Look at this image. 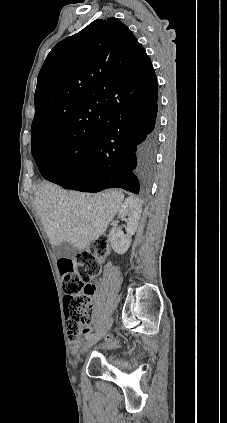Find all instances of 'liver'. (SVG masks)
Segmentation results:
<instances>
[{
    "instance_id": "1",
    "label": "liver",
    "mask_w": 227,
    "mask_h": 423,
    "mask_svg": "<svg viewBox=\"0 0 227 423\" xmlns=\"http://www.w3.org/2000/svg\"><path fill=\"white\" fill-rule=\"evenodd\" d=\"M123 200L124 194L117 190L81 194L67 192L49 182L41 184L34 196L35 208L52 247L67 241L76 249H85L105 233Z\"/></svg>"
}]
</instances>
